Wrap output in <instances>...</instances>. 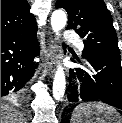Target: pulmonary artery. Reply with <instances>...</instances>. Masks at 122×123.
Wrapping results in <instances>:
<instances>
[{
	"label": "pulmonary artery",
	"mask_w": 122,
	"mask_h": 123,
	"mask_svg": "<svg viewBox=\"0 0 122 123\" xmlns=\"http://www.w3.org/2000/svg\"><path fill=\"white\" fill-rule=\"evenodd\" d=\"M65 39L68 42L75 43L81 51L83 50L84 45L76 33L72 32V31H66L65 32Z\"/></svg>",
	"instance_id": "pulmonary-artery-1"
}]
</instances>
